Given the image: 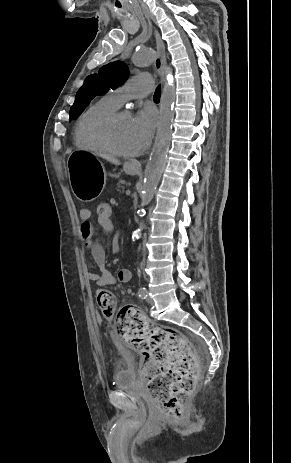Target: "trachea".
Segmentation results:
<instances>
[{
	"label": "trachea",
	"instance_id": "3493384b",
	"mask_svg": "<svg viewBox=\"0 0 291 463\" xmlns=\"http://www.w3.org/2000/svg\"><path fill=\"white\" fill-rule=\"evenodd\" d=\"M160 96H161V86H159L156 89L155 94H154V100H160Z\"/></svg>",
	"mask_w": 291,
	"mask_h": 463
}]
</instances>
